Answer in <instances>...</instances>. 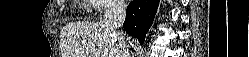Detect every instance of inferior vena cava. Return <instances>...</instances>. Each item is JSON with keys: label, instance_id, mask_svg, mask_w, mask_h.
Listing matches in <instances>:
<instances>
[{"label": "inferior vena cava", "instance_id": "1", "mask_svg": "<svg viewBox=\"0 0 249 57\" xmlns=\"http://www.w3.org/2000/svg\"><path fill=\"white\" fill-rule=\"evenodd\" d=\"M127 4L123 0H115L109 9L104 13L102 25L118 38L119 49L122 53L121 57H129L128 46L124 37L118 29L122 27L126 16Z\"/></svg>", "mask_w": 249, "mask_h": 57}]
</instances>
